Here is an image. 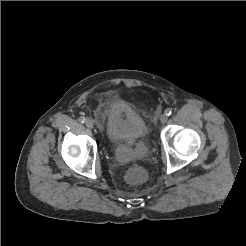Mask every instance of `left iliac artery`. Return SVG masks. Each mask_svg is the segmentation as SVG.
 <instances>
[{"mask_svg": "<svg viewBox=\"0 0 246 246\" xmlns=\"http://www.w3.org/2000/svg\"><path fill=\"white\" fill-rule=\"evenodd\" d=\"M165 114L167 115V116H170L171 114H172V110L171 109H166L165 110Z\"/></svg>", "mask_w": 246, "mask_h": 246, "instance_id": "obj_1", "label": "left iliac artery"}]
</instances>
